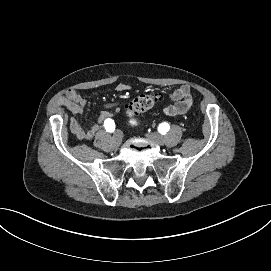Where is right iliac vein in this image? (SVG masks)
Instances as JSON below:
<instances>
[{"label":"right iliac vein","mask_w":271,"mask_h":271,"mask_svg":"<svg viewBox=\"0 0 271 271\" xmlns=\"http://www.w3.org/2000/svg\"><path fill=\"white\" fill-rule=\"evenodd\" d=\"M113 140L116 144H120L122 142V134L119 131H117L116 134L114 135Z\"/></svg>","instance_id":"63e3f726"}]
</instances>
